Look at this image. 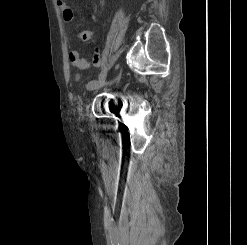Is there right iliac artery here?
Masks as SVG:
<instances>
[{
	"mask_svg": "<svg viewBox=\"0 0 247 245\" xmlns=\"http://www.w3.org/2000/svg\"><path fill=\"white\" fill-rule=\"evenodd\" d=\"M107 66L109 65L108 63L106 64ZM105 67L102 69L101 74L99 75L97 80L90 81L87 85V88L90 89L92 86L93 87H98L101 82H105L108 79V67Z\"/></svg>",
	"mask_w": 247,
	"mask_h": 245,
	"instance_id": "obj_1",
	"label": "right iliac artery"
}]
</instances>
